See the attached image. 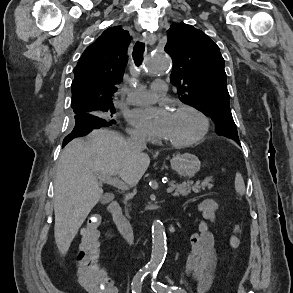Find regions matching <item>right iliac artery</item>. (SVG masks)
I'll use <instances>...</instances> for the list:
<instances>
[{
	"label": "right iliac artery",
	"instance_id": "1",
	"mask_svg": "<svg viewBox=\"0 0 293 293\" xmlns=\"http://www.w3.org/2000/svg\"><path fill=\"white\" fill-rule=\"evenodd\" d=\"M151 271L150 268L144 267L139 270V272L134 276L132 280V293H140L142 287V281L145 276Z\"/></svg>",
	"mask_w": 293,
	"mask_h": 293
}]
</instances>
